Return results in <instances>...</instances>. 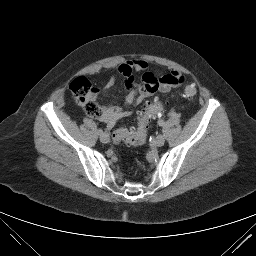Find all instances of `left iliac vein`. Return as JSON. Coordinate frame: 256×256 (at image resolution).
<instances>
[{
	"label": "left iliac vein",
	"mask_w": 256,
	"mask_h": 256,
	"mask_svg": "<svg viewBox=\"0 0 256 256\" xmlns=\"http://www.w3.org/2000/svg\"><path fill=\"white\" fill-rule=\"evenodd\" d=\"M155 145L158 146V147H161L164 145L165 143V138L163 135H158L156 138H155Z\"/></svg>",
	"instance_id": "1"
}]
</instances>
